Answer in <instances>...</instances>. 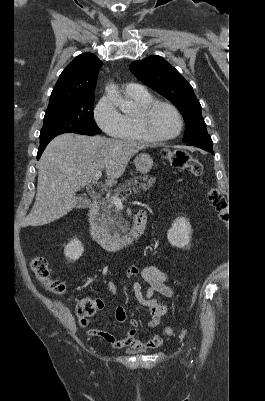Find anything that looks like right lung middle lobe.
<instances>
[{"label":"right lung middle lobe","instance_id":"1","mask_svg":"<svg viewBox=\"0 0 265 401\" xmlns=\"http://www.w3.org/2000/svg\"><path fill=\"white\" fill-rule=\"evenodd\" d=\"M94 99V95H89L48 106L40 132V142L62 133L100 134L101 130L93 117Z\"/></svg>","mask_w":265,"mask_h":401}]
</instances>
